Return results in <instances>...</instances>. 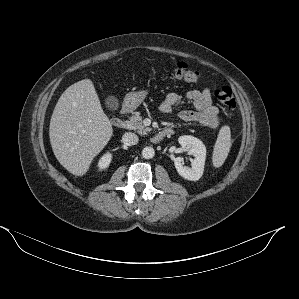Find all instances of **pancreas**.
Segmentation results:
<instances>
[{
	"label": "pancreas",
	"instance_id": "obj_1",
	"mask_svg": "<svg viewBox=\"0 0 299 299\" xmlns=\"http://www.w3.org/2000/svg\"><path fill=\"white\" fill-rule=\"evenodd\" d=\"M126 127L129 130H134L140 135H146L151 131V128L145 127L142 123L140 112H135L131 118L126 121Z\"/></svg>",
	"mask_w": 299,
	"mask_h": 299
}]
</instances>
